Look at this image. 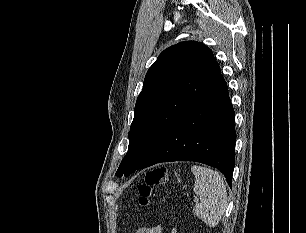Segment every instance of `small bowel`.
<instances>
[{
  "mask_svg": "<svg viewBox=\"0 0 306 233\" xmlns=\"http://www.w3.org/2000/svg\"><path fill=\"white\" fill-rule=\"evenodd\" d=\"M135 233H162V226L155 225L152 227L139 228ZM170 233H177L176 229H172Z\"/></svg>",
  "mask_w": 306,
  "mask_h": 233,
  "instance_id": "obj_1",
  "label": "small bowel"
}]
</instances>
